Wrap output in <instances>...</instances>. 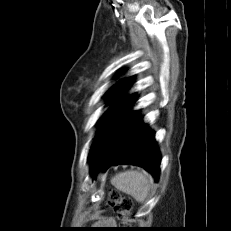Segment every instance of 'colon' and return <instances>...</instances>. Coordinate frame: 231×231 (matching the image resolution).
<instances>
[{
	"label": "colon",
	"mask_w": 231,
	"mask_h": 231,
	"mask_svg": "<svg viewBox=\"0 0 231 231\" xmlns=\"http://www.w3.org/2000/svg\"><path fill=\"white\" fill-rule=\"evenodd\" d=\"M109 203L121 221L125 223L130 222L129 217L133 207L131 199L124 197L119 191L112 189L109 192Z\"/></svg>",
	"instance_id": "colon-1"
}]
</instances>
